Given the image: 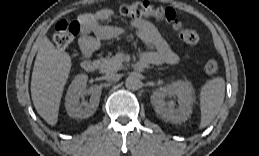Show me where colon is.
<instances>
[{"instance_id": "1", "label": "colon", "mask_w": 259, "mask_h": 156, "mask_svg": "<svg viewBox=\"0 0 259 156\" xmlns=\"http://www.w3.org/2000/svg\"><path fill=\"white\" fill-rule=\"evenodd\" d=\"M119 11L126 17H145L164 22L175 31H178L181 39L188 44L197 43L199 40V35L196 31L182 27L176 11L172 8L155 7L148 2H136L121 6ZM80 31V21L61 20L55 25L53 42L59 49H65L74 41ZM204 70L209 75L215 74L218 71V62L215 59H208L205 62Z\"/></svg>"}]
</instances>
